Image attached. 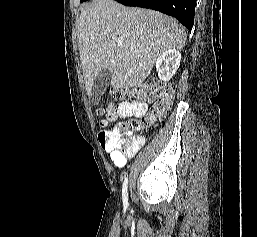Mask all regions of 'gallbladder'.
I'll list each match as a JSON object with an SVG mask.
<instances>
[{
    "mask_svg": "<svg viewBox=\"0 0 257 237\" xmlns=\"http://www.w3.org/2000/svg\"><path fill=\"white\" fill-rule=\"evenodd\" d=\"M112 80V72L109 69L101 70L96 76L92 91L90 94V99L92 102H96L100 95L105 91Z\"/></svg>",
    "mask_w": 257,
    "mask_h": 237,
    "instance_id": "1",
    "label": "gallbladder"
}]
</instances>
